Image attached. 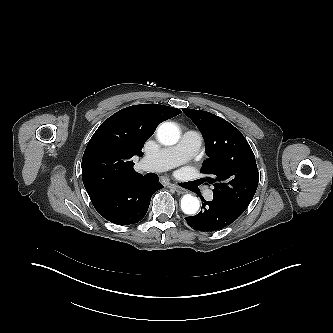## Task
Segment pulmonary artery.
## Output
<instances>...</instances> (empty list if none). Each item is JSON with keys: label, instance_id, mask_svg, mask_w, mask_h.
Wrapping results in <instances>:
<instances>
[{"label": "pulmonary artery", "instance_id": "pulmonary-artery-1", "mask_svg": "<svg viewBox=\"0 0 333 333\" xmlns=\"http://www.w3.org/2000/svg\"><path fill=\"white\" fill-rule=\"evenodd\" d=\"M202 140V135L198 131H186L177 145L145 156L141 161V166L144 170L156 172L169 170L191 158L200 148ZM205 197L207 200H212V191H207Z\"/></svg>", "mask_w": 333, "mask_h": 333}]
</instances>
